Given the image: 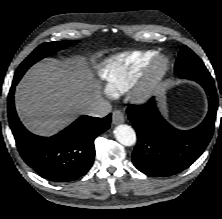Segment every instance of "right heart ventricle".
<instances>
[{
    "label": "right heart ventricle",
    "mask_w": 222,
    "mask_h": 219,
    "mask_svg": "<svg viewBox=\"0 0 222 219\" xmlns=\"http://www.w3.org/2000/svg\"><path fill=\"white\" fill-rule=\"evenodd\" d=\"M157 56L155 50L128 51L106 59L97 70L105 92L113 96L128 89Z\"/></svg>",
    "instance_id": "1"
}]
</instances>
